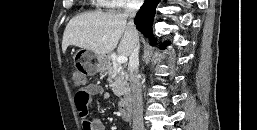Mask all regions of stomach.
<instances>
[{"instance_id":"0dacf381","label":"stomach","mask_w":257,"mask_h":130,"mask_svg":"<svg viewBox=\"0 0 257 130\" xmlns=\"http://www.w3.org/2000/svg\"><path fill=\"white\" fill-rule=\"evenodd\" d=\"M75 60L79 67L82 68L85 74L95 75L104 70L107 58L106 56L96 54L88 49H80L75 54Z\"/></svg>"}]
</instances>
